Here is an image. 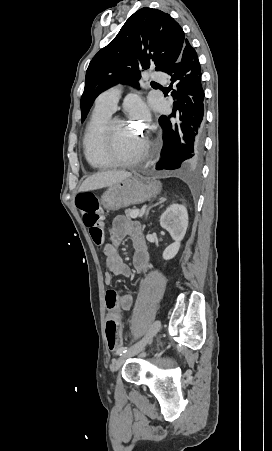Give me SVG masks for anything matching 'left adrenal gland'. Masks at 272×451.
<instances>
[{
    "mask_svg": "<svg viewBox=\"0 0 272 451\" xmlns=\"http://www.w3.org/2000/svg\"><path fill=\"white\" fill-rule=\"evenodd\" d=\"M160 202H158V204H162V202H165V198H159ZM158 204H154V206H158ZM154 206H150V208H148V210H146V216H148L149 214V210H151V208H154Z\"/></svg>",
    "mask_w": 272,
    "mask_h": 451,
    "instance_id": "left-adrenal-gland-1",
    "label": "left adrenal gland"
}]
</instances>
